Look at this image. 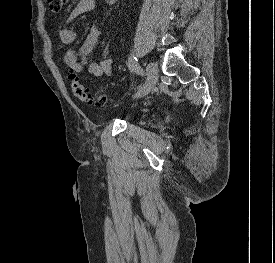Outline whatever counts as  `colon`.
Returning a JSON list of instances; mask_svg holds the SVG:
<instances>
[{"label": "colon", "instance_id": "1", "mask_svg": "<svg viewBox=\"0 0 275 263\" xmlns=\"http://www.w3.org/2000/svg\"><path fill=\"white\" fill-rule=\"evenodd\" d=\"M49 9L53 12H60L66 0H46ZM69 83L73 95L81 102L89 105H105L107 98L105 96H96L91 93L80 80L76 72H69Z\"/></svg>", "mask_w": 275, "mask_h": 263}]
</instances>
